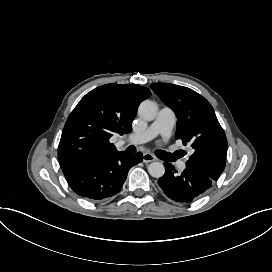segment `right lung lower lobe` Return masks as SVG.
Wrapping results in <instances>:
<instances>
[{"instance_id": "1", "label": "right lung lower lobe", "mask_w": 272, "mask_h": 272, "mask_svg": "<svg viewBox=\"0 0 272 272\" xmlns=\"http://www.w3.org/2000/svg\"><path fill=\"white\" fill-rule=\"evenodd\" d=\"M142 161V154L134 156L117 152L112 156L87 159L63 168L72 190L88 200H105L117 194L129 169Z\"/></svg>"}]
</instances>
